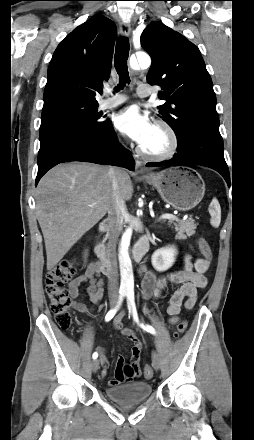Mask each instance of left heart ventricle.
I'll use <instances>...</instances> for the list:
<instances>
[{
    "mask_svg": "<svg viewBox=\"0 0 254 440\" xmlns=\"http://www.w3.org/2000/svg\"><path fill=\"white\" fill-rule=\"evenodd\" d=\"M168 139L166 134L159 128L154 127L149 139L142 145L148 152H160L167 146Z\"/></svg>",
    "mask_w": 254,
    "mask_h": 440,
    "instance_id": "obj_1",
    "label": "left heart ventricle"
}]
</instances>
